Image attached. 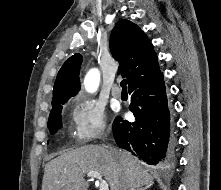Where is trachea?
Listing matches in <instances>:
<instances>
[{
    "label": "trachea",
    "mask_w": 221,
    "mask_h": 190,
    "mask_svg": "<svg viewBox=\"0 0 221 190\" xmlns=\"http://www.w3.org/2000/svg\"><path fill=\"white\" fill-rule=\"evenodd\" d=\"M126 85H127L126 79L122 80V81H121V87H122L123 90H126V89H127Z\"/></svg>",
    "instance_id": "1"
}]
</instances>
